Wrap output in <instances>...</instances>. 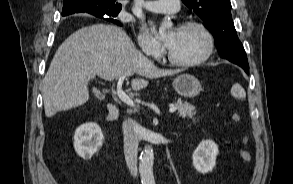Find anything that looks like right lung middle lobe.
Returning <instances> with one entry per match:
<instances>
[{
  "label": "right lung middle lobe",
  "mask_w": 293,
  "mask_h": 184,
  "mask_svg": "<svg viewBox=\"0 0 293 184\" xmlns=\"http://www.w3.org/2000/svg\"><path fill=\"white\" fill-rule=\"evenodd\" d=\"M98 13L101 16H103V15L106 14L107 16L111 17V18H108L107 20H109V21H115L116 22V20H114L113 18L118 15L119 11H116V10H101Z\"/></svg>",
  "instance_id": "1"
}]
</instances>
